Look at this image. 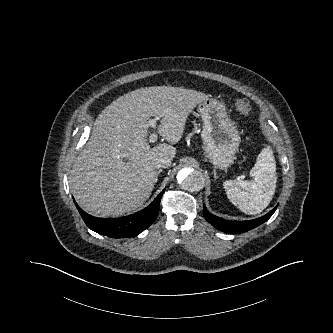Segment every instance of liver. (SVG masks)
I'll return each mask as SVG.
<instances>
[{"label":"liver","instance_id":"obj_1","mask_svg":"<svg viewBox=\"0 0 333 333\" xmlns=\"http://www.w3.org/2000/svg\"><path fill=\"white\" fill-rule=\"evenodd\" d=\"M202 92L172 86L136 89L120 96L98 115L90 140L76 157L69 177L79 206L98 217H118L150 197L157 171L154 161L176 155L192 110L206 100ZM170 144L150 147L149 120Z\"/></svg>","mask_w":333,"mask_h":333}]
</instances>
